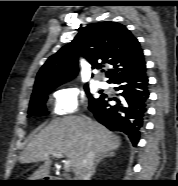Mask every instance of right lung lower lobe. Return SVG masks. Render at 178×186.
Wrapping results in <instances>:
<instances>
[{
    "mask_svg": "<svg viewBox=\"0 0 178 186\" xmlns=\"http://www.w3.org/2000/svg\"><path fill=\"white\" fill-rule=\"evenodd\" d=\"M117 84L120 91L117 98L101 95L89 105V110L98 122L112 131H121L128 135L133 145L139 141L140 130L146 115V104L149 97L146 62L129 67L109 80ZM116 104L110 106L109 101Z\"/></svg>",
    "mask_w": 178,
    "mask_h": 186,
    "instance_id": "98d812e1",
    "label": "right lung lower lobe"
}]
</instances>
